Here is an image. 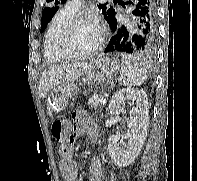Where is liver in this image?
Here are the masks:
<instances>
[{
  "label": "liver",
  "instance_id": "liver-1",
  "mask_svg": "<svg viewBox=\"0 0 197 181\" xmlns=\"http://www.w3.org/2000/svg\"><path fill=\"white\" fill-rule=\"evenodd\" d=\"M92 62L54 65L44 70L39 82V96L45 98L50 90L62 82L75 81L86 75Z\"/></svg>",
  "mask_w": 197,
  "mask_h": 181
}]
</instances>
